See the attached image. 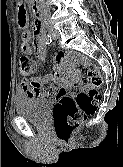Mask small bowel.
<instances>
[{"label": "small bowel", "instance_id": "obj_1", "mask_svg": "<svg viewBox=\"0 0 123 167\" xmlns=\"http://www.w3.org/2000/svg\"><path fill=\"white\" fill-rule=\"evenodd\" d=\"M19 17L18 24L24 29L22 33L21 51L25 55L35 52L40 61H45L47 56V45L43 41L44 31L39 24H35L33 32L27 29V7H19L17 10ZM33 39V44L31 40ZM63 58L62 54H57L55 60L59 63ZM79 83L73 77H63L60 65L55 67V73L47 77H35L23 79L20 83L21 92L30 97L50 98L56 94L60 98L72 88H77Z\"/></svg>", "mask_w": 123, "mask_h": 167}]
</instances>
